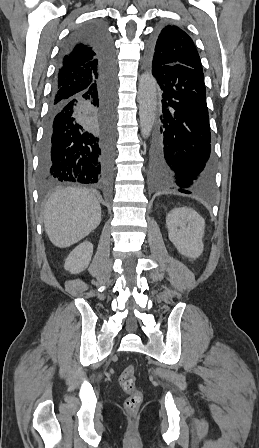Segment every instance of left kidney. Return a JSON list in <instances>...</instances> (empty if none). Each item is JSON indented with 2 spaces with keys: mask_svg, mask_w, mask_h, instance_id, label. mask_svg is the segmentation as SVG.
<instances>
[{
  "mask_svg": "<svg viewBox=\"0 0 259 448\" xmlns=\"http://www.w3.org/2000/svg\"><path fill=\"white\" fill-rule=\"evenodd\" d=\"M170 242L179 254L187 258H199L203 252L205 220L192 208H174L166 216Z\"/></svg>",
  "mask_w": 259,
  "mask_h": 448,
  "instance_id": "1",
  "label": "left kidney"
}]
</instances>
